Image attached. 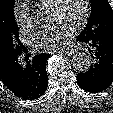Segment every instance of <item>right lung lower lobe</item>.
<instances>
[{
  "label": "right lung lower lobe",
  "instance_id": "1",
  "mask_svg": "<svg viewBox=\"0 0 113 113\" xmlns=\"http://www.w3.org/2000/svg\"><path fill=\"white\" fill-rule=\"evenodd\" d=\"M26 60L18 56L11 60L1 71L0 78L5 86L24 100H34L43 95L48 87L45 64L50 54L40 53L29 59L31 54L22 51Z\"/></svg>",
  "mask_w": 113,
  "mask_h": 113
}]
</instances>
